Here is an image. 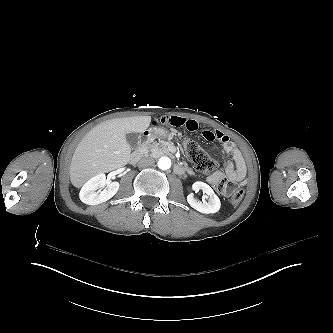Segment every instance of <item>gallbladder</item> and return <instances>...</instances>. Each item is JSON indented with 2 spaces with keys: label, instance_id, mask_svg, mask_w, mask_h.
Returning <instances> with one entry per match:
<instances>
[{
  "label": "gallbladder",
  "instance_id": "bac80fb5",
  "mask_svg": "<svg viewBox=\"0 0 333 333\" xmlns=\"http://www.w3.org/2000/svg\"><path fill=\"white\" fill-rule=\"evenodd\" d=\"M126 140L129 143L130 147L132 149L137 148L139 141L141 140V137L137 133H128L126 135Z\"/></svg>",
  "mask_w": 333,
  "mask_h": 333
}]
</instances>
